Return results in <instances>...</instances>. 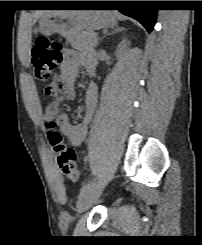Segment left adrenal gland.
I'll use <instances>...</instances> for the list:
<instances>
[{"label":"left adrenal gland","instance_id":"1","mask_svg":"<svg viewBox=\"0 0 202 245\" xmlns=\"http://www.w3.org/2000/svg\"><path fill=\"white\" fill-rule=\"evenodd\" d=\"M123 30H124L123 28H116L111 33H109L108 35L116 34V33L122 32Z\"/></svg>","mask_w":202,"mask_h":245}]
</instances>
